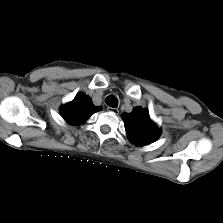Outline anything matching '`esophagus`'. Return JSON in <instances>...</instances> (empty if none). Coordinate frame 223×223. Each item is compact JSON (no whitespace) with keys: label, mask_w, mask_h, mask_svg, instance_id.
<instances>
[{"label":"esophagus","mask_w":223,"mask_h":223,"mask_svg":"<svg viewBox=\"0 0 223 223\" xmlns=\"http://www.w3.org/2000/svg\"><path fill=\"white\" fill-rule=\"evenodd\" d=\"M107 111L110 113H113L115 115H117L119 113V110L117 108H113V107H108Z\"/></svg>","instance_id":"esophagus-1"}]
</instances>
